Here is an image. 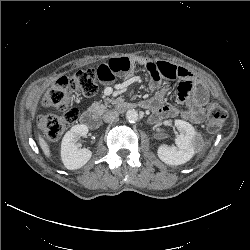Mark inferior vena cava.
<instances>
[{"label":"inferior vena cava","instance_id":"obj_1","mask_svg":"<svg viewBox=\"0 0 250 250\" xmlns=\"http://www.w3.org/2000/svg\"><path fill=\"white\" fill-rule=\"evenodd\" d=\"M119 116V113L115 110H109L103 115V120L105 123H112Z\"/></svg>","mask_w":250,"mask_h":250}]
</instances>
